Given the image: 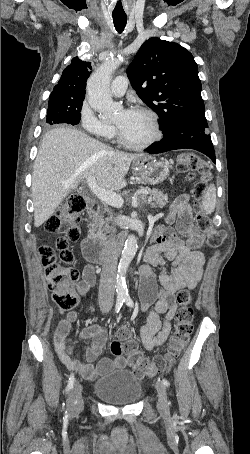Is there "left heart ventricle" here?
I'll return each instance as SVG.
<instances>
[{
  "mask_svg": "<svg viewBox=\"0 0 250 454\" xmlns=\"http://www.w3.org/2000/svg\"><path fill=\"white\" fill-rule=\"evenodd\" d=\"M115 124L123 136L131 143L140 144L153 135V124L150 117L138 111H121Z\"/></svg>",
  "mask_w": 250,
  "mask_h": 454,
  "instance_id": "left-heart-ventricle-1",
  "label": "left heart ventricle"
}]
</instances>
